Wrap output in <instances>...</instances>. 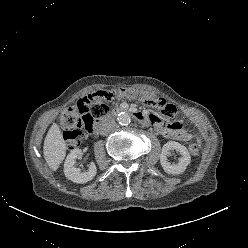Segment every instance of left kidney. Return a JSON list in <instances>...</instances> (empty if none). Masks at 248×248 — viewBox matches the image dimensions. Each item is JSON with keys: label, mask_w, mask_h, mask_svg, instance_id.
Returning <instances> with one entry per match:
<instances>
[{"label": "left kidney", "mask_w": 248, "mask_h": 248, "mask_svg": "<svg viewBox=\"0 0 248 248\" xmlns=\"http://www.w3.org/2000/svg\"><path fill=\"white\" fill-rule=\"evenodd\" d=\"M171 150H176L181 155V158H179L178 163L176 164H171L167 159V156L170 155ZM160 162L162 168L166 173L174 175L181 174L186 170L187 166L190 164L191 156L185 146L175 141H169L162 147Z\"/></svg>", "instance_id": "obj_1"}]
</instances>
